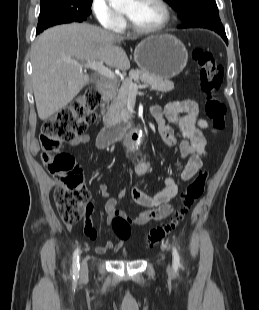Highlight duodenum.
<instances>
[{
	"label": "duodenum",
	"mask_w": 259,
	"mask_h": 310,
	"mask_svg": "<svg viewBox=\"0 0 259 310\" xmlns=\"http://www.w3.org/2000/svg\"><path fill=\"white\" fill-rule=\"evenodd\" d=\"M114 86L115 84L112 81H103L99 84V88L104 96H108ZM130 129L131 117H127L121 121L109 123L100 132L98 137V144L100 146L110 145L125 135Z\"/></svg>",
	"instance_id": "duodenum-1"
}]
</instances>
